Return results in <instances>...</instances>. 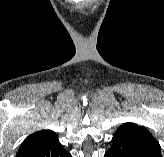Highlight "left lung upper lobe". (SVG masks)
Wrapping results in <instances>:
<instances>
[{"label": "left lung upper lobe", "mask_w": 164, "mask_h": 157, "mask_svg": "<svg viewBox=\"0 0 164 157\" xmlns=\"http://www.w3.org/2000/svg\"><path fill=\"white\" fill-rule=\"evenodd\" d=\"M114 137L132 140L161 155L159 143L145 127H140L134 123H124L118 127Z\"/></svg>", "instance_id": "left-lung-upper-lobe-1"}]
</instances>
